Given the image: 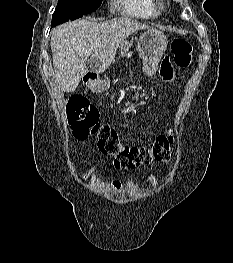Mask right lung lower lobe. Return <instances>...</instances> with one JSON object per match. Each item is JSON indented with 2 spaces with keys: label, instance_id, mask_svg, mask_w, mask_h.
<instances>
[{
  "label": "right lung lower lobe",
  "instance_id": "98d812e1",
  "mask_svg": "<svg viewBox=\"0 0 233 263\" xmlns=\"http://www.w3.org/2000/svg\"><path fill=\"white\" fill-rule=\"evenodd\" d=\"M53 26H56V25H55V24H52V27H53Z\"/></svg>",
  "mask_w": 233,
  "mask_h": 263
}]
</instances>
